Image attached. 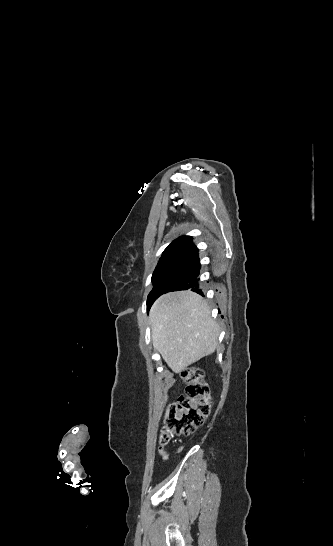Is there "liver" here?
I'll use <instances>...</instances> for the list:
<instances>
[{
    "label": "liver",
    "instance_id": "liver-1",
    "mask_svg": "<svg viewBox=\"0 0 333 546\" xmlns=\"http://www.w3.org/2000/svg\"><path fill=\"white\" fill-rule=\"evenodd\" d=\"M154 348L174 372L180 373L218 345L219 325L207 301L192 291L159 297L149 313Z\"/></svg>",
    "mask_w": 333,
    "mask_h": 546
}]
</instances>
